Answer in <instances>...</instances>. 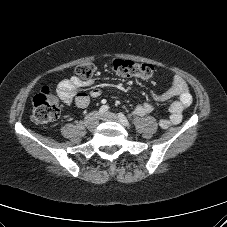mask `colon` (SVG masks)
<instances>
[{"label": "colon", "mask_w": 227, "mask_h": 227, "mask_svg": "<svg viewBox=\"0 0 227 227\" xmlns=\"http://www.w3.org/2000/svg\"><path fill=\"white\" fill-rule=\"evenodd\" d=\"M108 68L124 77H139L150 79L154 76V67L146 63H137L125 59H113L108 62ZM77 74L82 78H89L95 72L92 63H84L77 67ZM60 115V105L56 96L48 87H43L33 99L32 117L40 124L55 121Z\"/></svg>", "instance_id": "colon-1"}]
</instances>
